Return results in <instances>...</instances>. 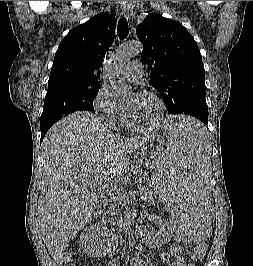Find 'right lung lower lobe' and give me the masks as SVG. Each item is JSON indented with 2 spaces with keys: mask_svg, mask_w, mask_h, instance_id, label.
Returning <instances> with one entry per match:
<instances>
[{
  "mask_svg": "<svg viewBox=\"0 0 253 266\" xmlns=\"http://www.w3.org/2000/svg\"><path fill=\"white\" fill-rule=\"evenodd\" d=\"M49 128H43V129H40L41 130V139H40V144L44 138V136L46 135V132L48 131Z\"/></svg>",
  "mask_w": 253,
  "mask_h": 266,
  "instance_id": "right-lung-lower-lobe-1",
  "label": "right lung lower lobe"
}]
</instances>
